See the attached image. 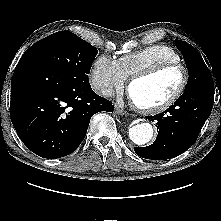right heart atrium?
<instances>
[{"label":"right heart atrium","instance_id":"right-heart-atrium-1","mask_svg":"<svg viewBox=\"0 0 221 221\" xmlns=\"http://www.w3.org/2000/svg\"><path fill=\"white\" fill-rule=\"evenodd\" d=\"M126 80L117 60L112 57L99 55L93 61L89 72V82L97 93L110 95L114 91H120Z\"/></svg>","mask_w":221,"mask_h":221}]
</instances>
